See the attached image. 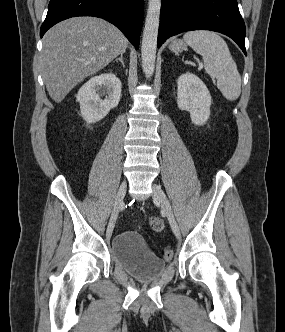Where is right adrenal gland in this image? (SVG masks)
<instances>
[{"instance_id": "1", "label": "right adrenal gland", "mask_w": 285, "mask_h": 332, "mask_svg": "<svg viewBox=\"0 0 285 332\" xmlns=\"http://www.w3.org/2000/svg\"><path fill=\"white\" fill-rule=\"evenodd\" d=\"M115 61H120L123 67H125L124 62H123V54L120 55L119 58H117Z\"/></svg>"}]
</instances>
